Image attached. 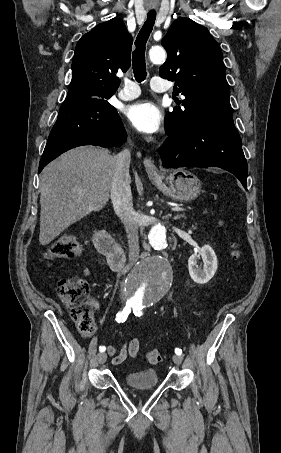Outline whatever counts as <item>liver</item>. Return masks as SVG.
<instances>
[{
	"label": "liver",
	"instance_id": "1",
	"mask_svg": "<svg viewBox=\"0 0 281 453\" xmlns=\"http://www.w3.org/2000/svg\"><path fill=\"white\" fill-rule=\"evenodd\" d=\"M116 160L107 148L77 146L42 170L40 245H49L65 229L101 210L110 198Z\"/></svg>",
	"mask_w": 281,
	"mask_h": 453
}]
</instances>
